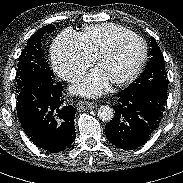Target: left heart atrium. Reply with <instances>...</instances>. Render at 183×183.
<instances>
[{"instance_id":"obj_1","label":"left heart atrium","mask_w":183,"mask_h":183,"mask_svg":"<svg viewBox=\"0 0 183 183\" xmlns=\"http://www.w3.org/2000/svg\"><path fill=\"white\" fill-rule=\"evenodd\" d=\"M109 80L104 73L96 68L92 70L81 82L74 85L72 91L85 97H97L109 86Z\"/></svg>"}]
</instances>
